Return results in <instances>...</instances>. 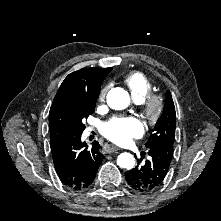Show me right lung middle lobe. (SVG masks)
I'll return each instance as SVG.
<instances>
[{
  "mask_svg": "<svg viewBox=\"0 0 221 221\" xmlns=\"http://www.w3.org/2000/svg\"><path fill=\"white\" fill-rule=\"evenodd\" d=\"M67 105L71 120L70 132L72 135H80L85 129L83 120L88 118V116L94 112L96 100H91L82 96L71 97L69 98ZM53 137H61V134L59 133L56 136L51 135V140Z\"/></svg>",
  "mask_w": 221,
  "mask_h": 221,
  "instance_id": "obj_1",
  "label": "right lung middle lobe"
}]
</instances>
